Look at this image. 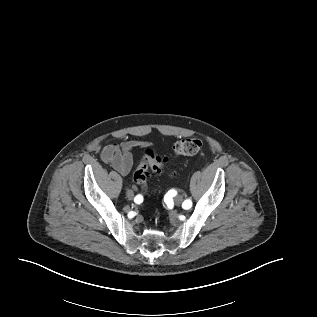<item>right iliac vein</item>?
<instances>
[{"label":"right iliac vein","instance_id":"obj_1","mask_svg":"<svg viewBox=\"0 0 317 317\" xmlns=\"http://www.w3.org/2000/svg\"><path fill=\"white\" fill-rule=\"evenodd\" d=\"M127 197L129 198V199H132L133 198V194H129V192H127Z\"/></svg>","mask_w":317,"mask_h":317}]
</instances>
